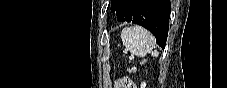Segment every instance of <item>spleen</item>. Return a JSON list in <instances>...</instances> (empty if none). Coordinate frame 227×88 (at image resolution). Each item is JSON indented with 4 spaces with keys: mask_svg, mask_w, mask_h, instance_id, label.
Instances as JSON below:
<instances>
[{
    "mask_svg": "<svg viewBox=\"0 0 227 88\" xmlns=\"http://www.w3.org/2000/svg\"><path fill=\"white\" fill-rule=\"evenodd\" d=\"M121 39L126 49L137 57H144L147 53H151L153 57L159 55V52L154 50L155 38L139 25L125 27L121 32Z\"/></svg>",
    "mask_w": 227,
    "mask_h": 88,
    "instance_id": "spleen-1",
    "label": "spleen"
}]
</instances>
